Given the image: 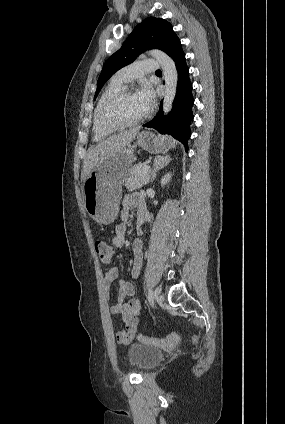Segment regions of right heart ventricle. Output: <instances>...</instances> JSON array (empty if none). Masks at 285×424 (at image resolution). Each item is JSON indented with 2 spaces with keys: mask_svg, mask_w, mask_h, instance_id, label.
Here are the masks:
<instances>
[{
  "mask_svg": "<svg viewBox=\"0 0 285 424\" xmlns=\"http://www.w3.org/2000/svg\"><path fill=\"white\" fill-rule=\"evenodd\" d=\"M122 89L123 84L112 79L100 95L93 114V135L95 140H102L116 131L103 128L99 123V116L105 103Z\"/></svg>",
  "mask_w": 285,
  "mask_h": 424,
  "instance_id": "e07e8e85",
  "label": "right heart ventricle"
}]
</instances>
